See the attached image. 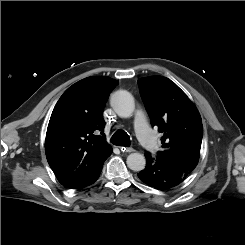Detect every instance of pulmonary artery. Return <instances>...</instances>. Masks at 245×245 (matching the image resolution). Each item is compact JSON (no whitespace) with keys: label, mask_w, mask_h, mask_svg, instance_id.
<instances>
[{"label":"pulmonary artery","mask_w":245,"mask_h":245,"mask_svg":"<svg viewBox=\"0 0 245 245\" xmlns=\"http://www.w3.org/2000/svg\"><path fill=\"white\" fill-rule=\"evenodd\" d=\"M134 127L143 147L149 152H154L157 149V142L148 125V121L144 113H136L134 118Z\"/></svg>","instance_id":"pulmonary-artery-1"}]
</instances>
